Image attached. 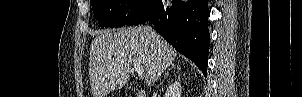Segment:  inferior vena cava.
I'll return each mask as SVG.
<instances>
[{"instance_id":"obj_1","label":"inferior vena cava","mask_w":302,"mask_h":97,"mask_svg":"<svg viewBox=\"0 0 302 97\" xmlns=\"http://www.w3.org/2000/svg\"><path fill=\"white\" fill-rule=\"evenodd\" d=\"M150 32H151V35H152V37H157V34L152 30V29H150Z\"/></svg>"}]
</instances>
